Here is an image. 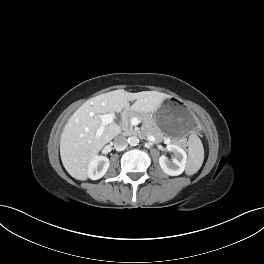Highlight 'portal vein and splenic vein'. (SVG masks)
<instances>
[{
    "instance_id": "1",
    "label": "portal vein and splenic vein",
    "mask_w": 264,
    "mask_h": 264,
    "mask_svg": "<svg viewBox=\"0 0 264 264\" xmlns=\"http://www.w3.org/2000/svg\"><path fill=\"white\" fill-rule=\"evenodd\" d=\"M114 117H115V115H114L113 112H110L108 114H102V115H100L101 127L97 130V133H96V136L97 137H100L102 135L103 127L105 125L114 123Z\"/></svg>"
}]
</instances>
